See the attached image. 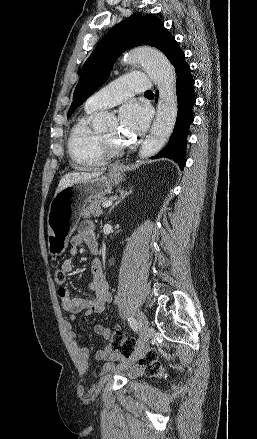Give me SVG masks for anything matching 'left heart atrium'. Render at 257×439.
<instances>
[{"mask_svg": "<svg viewBox=\"0 0 257 439\" xmlns=\"http://www.w3.org/2000/svg\"><path fill=\"white\" fill-rule=\"evenodd\" d=\"M149 123L148 109L139 103H129L120 110L121 131L128 138L142 134Z\"/></svg>", "mask_w": 257, "mask_h": 439, "instance_id": "obj_1", "label": "left heart atrium"}]
</instances>
